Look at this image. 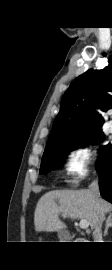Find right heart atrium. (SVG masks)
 Instances as JSON below:
<instances>
[{
	"mask_svg": "<svg viewBox=\"0 0 112 270\" xmlns=\"http://www.w3.org/2000/svg\"><path fill=\"white\" fill-rule=\"evenodd\" d=\"M95 158L94 149L84 143L71 147L64 159L63 169L70 183L77 184L90 172Z\"/></svg>",
	"mask_w": 112,
	"mask_h": 270,
	"instance_id": "obj_1",
	"label": "right heart atrium"
}]
</instances>
